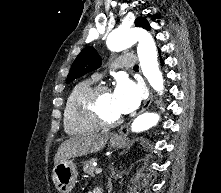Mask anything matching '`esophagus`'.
<instances>
[{"label": "esophagus", "instance_id": "34e87169", "mask_svg": "<svg viewBox=\"0 0 221 193\" xmlns=\"http://www.w3.org/2000/svg\"><path fill=\"white\" fill-rule=\"evenodd\" d=\"M152 101H153V93H152V91H151V89H150V87H149V97H148V99L144 102V104H143L142 109H141L140 112H144L146 109H148L149 106L151 105ZM129 125H130V124H127V125L123 126V127L119 130L118 134H116V135L114 136V139H118L121 134L125 133V132L128 130Z\"/></svg>", "mask_w": 221, "mask_h": 193}]
</instances>
